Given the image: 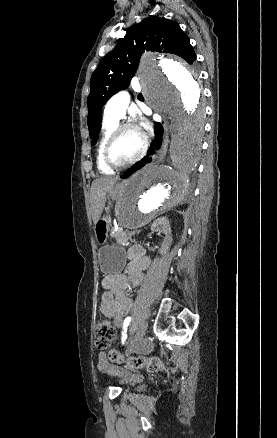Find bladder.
<instances>
[{"instance_id": "bladder-1", "label": "bladder", "mask_w": 277, "mask_h": 438, "mask_svg": "<svg viewBox=\"0 0 277 438\" xmlns=\"http://www.w3.org/2000/svg\"><path fill=\"white\" fill-rule=\"evenodd\" d=\"M132 383H136V379H135V377H133V379H132Z\"/></svg>"}]
</instances>
